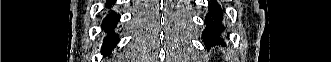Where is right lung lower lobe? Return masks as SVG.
I'll use <instances>...</instances> for the list:
<instances>
[{
	"label": "right lung lower lobe",
	"mask_w": 331,
	"mask_h": 62,
	"mask_svg": "<svg viewBox=\"0 0 331 62\" xmlns=\"http://www.w3.org/2000/svg\"><path fill=\"white\" fill-rule=\"evenodd\" d=\"M115 0H107L106 8L110 9L112 4H114ZM120 19V15L116 12L110 11L102 22V28L108 33V35L104 38L103 41V50L111 51L119 41V37L115 34L114 29Z\"/></svg>",
	"instance_id": "1"
}]
</instances>
